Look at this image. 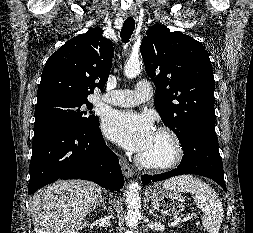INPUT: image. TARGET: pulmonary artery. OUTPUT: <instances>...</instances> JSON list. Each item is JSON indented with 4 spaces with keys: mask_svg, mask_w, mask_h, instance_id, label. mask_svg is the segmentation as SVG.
<instances>
[{
    "mask_svg": "<svg viewBox=\"0 0 253 233\" xmlns=\"http://www.w3.org/2000/svg\"><path fill=\"white\" fill-rule=\"evenodd\" d=\"M152 96V86L148 81H140L134 90H113L102 96V101L120 107H132L145 102Z\"/></svg>",
    "mask_w": 253,
    "mask_h": 233,
    "instance_id": "obj_1",
    "label": "pulmonary artery"
}]
</instances>
